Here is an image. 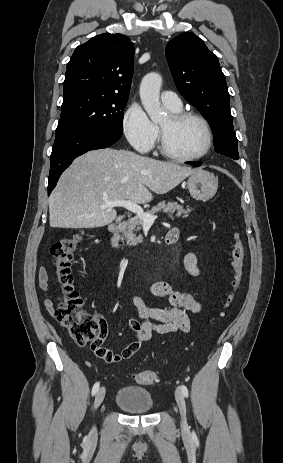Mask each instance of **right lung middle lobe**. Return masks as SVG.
Masks as SVG:
<instances>
[{
	"label": "right lung middle lobe",
	"mask_w": 283,
	"mask_h": 463,
	"mask_svg": "<svg viewBox=\"0 0 283 463\" xmlns=\"http://www.w3.org/2000/svg\"><path fill=\"white\" fill-rule=\"evenodd\" d=\"M128 97L75 94L63 101L56 136L81 129H101L122 135L123 110Z\"/></svg>",
	"instance_id": "dd1d6c3e"
}]
</instances>
